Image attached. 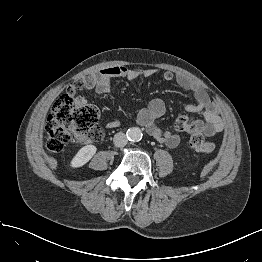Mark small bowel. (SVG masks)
<instances>
[{"instance_id":"c3829d8e","label":"small bowel","mask_w":262,"mask_h":262,"mask_svg":"<svg viewBox=\"0 0 262 262\" xmlns=\"http://www.w3.org/2000/svg\"><path fill=\"white\" fill-rule=\"evenodd\" d=\"M154 74L152 69H129L123 65H116L104 68L99 73L91 74L84 80L82 88L93 89L101 95L109 93L112 80L116 78H148ZM166 81L176 79L181 89L192 94L195 103L186 107V113L179 115L175 120L173 131H164L159 128L155 121L163 116L165 104L161 99L150 101L146 107L142 108L136 117L137 122L144 126L147 133L157 141L173 148L181 140V133L199 131L206 136L219 133L224 128L222 117L219 115L215 104L211 101L207 92L201 85L185 75L177 78L173 72L164 74ZM188 114H196L202 119L190 120ZM120 125L119 118H113L107 123V128H116Z\"/></svg>"}]
</instances>
